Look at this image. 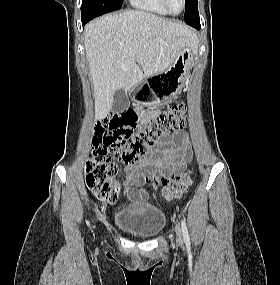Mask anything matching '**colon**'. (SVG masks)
I'll return each instance as SVG.
<instances>
[{"instance_id":"1","label":"colon","mask_w":280,"mask_h":285,"mask_svg":"<svg viewBox=\"0 0 280 285\" xmlns=\"http://www.w3.org/2000/svg\"><path fill=\"white\" fill-rule=\"evenodd\" d=\"M138 114L133 108L109 114L95 127L93 154L85 167L87 187L99 199L113 203L118 194L114 182L116 168L111 158L120 156L125 163H134L162 136L175 133L187 122L184 104L163 110L147 124L136 128ZM190 172H179L168 181L163 196L169 200L180 197L191 184Z\"/></svg>"}]
</instances>
